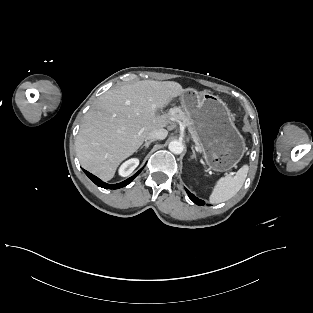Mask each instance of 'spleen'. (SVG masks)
I'll return each mask as SVG.
<instances>
[{"instance_id": "spleen-1", "label": "spleen", "mask_w": 313, "mask_h": 313, "mask_svg": "<svg viewBox=\"0 0 313 313\" xmlns=\"http://www.w3.org/2000/svg\"><path fill=\"white\" fill-rule=\"evenodd\" d=\"M249 167L242 166L235 176L221 177L215 184L212 193L209 197L211 204H218L225 202L235 196L243 186L247 177Z\"/></svg>"}]
</instances>
